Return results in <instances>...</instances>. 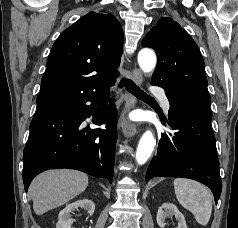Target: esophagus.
Here are the masks:
<instances>
[{"instance_id":"34e87169","label":"esophagus","mask_w":238,"mask_h":228,"mask_svg":"<svg viewBox=\"0 0 238 228\" xmlns=\"http://www.w3.org/2000/svg\"><path fill=\"white\" fill-rule=\"evenodd\" d=\"M132 79L138 85L142 83V80H143L142 73L139 69L133 68ZM125 100H126L125 112L129 111L130 109L136 106V103H137L136 98L131 93L129 92L126 93ZM120 127L122 129L124 136L126 137H131L135 135V133L138 130L136 124L127 121L125 117H123V120L120 123Z\"/></svg>"}]
</instances>
